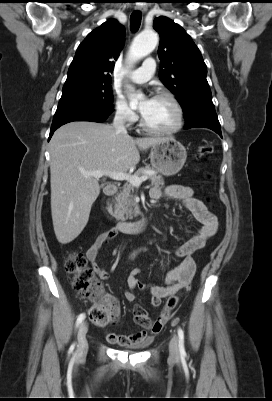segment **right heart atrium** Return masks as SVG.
<instances>
[{
  "label": "right heart atrium",
  "mask_w": 272,
  "mask_h": 401,
  "mask_svg": "<svg viewBox=\"0 0 272 401\" xmlns=\"http://www.w3.org/2000/svg\"><path fill=\"white\" fill-rule=\"evenodd\" d=\"M113 108L115 117L119 122L125 125H132L137 120L135 112L123 98L116 96L113 100Z\"/></svg>",
  "instance_id": "right-heart-atrium-1"
}]
</instances>
